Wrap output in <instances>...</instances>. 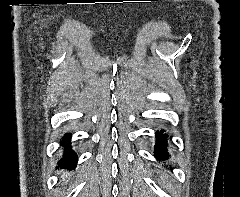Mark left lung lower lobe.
I'll return each instance as SVG.
<instances>
[{
    "mask_svg": "<svg viewBox=\"0 0 240 197\" xmlns=\"http://www.w3.org/2000/svg\"><path fill=\"white\" fill-rule=\"evenodd\" d=\"M164 131H161V132H157L156 133V137H157V144H156V147H155V156L162 160V159H165V160H168V156L169 154L167 153L166 151V142H167V135L163 134Z\"/></svg>",
    "mask_w": 240,
    "mask_h": 197,
    "instance_id": "0a47b994",
    "label": "left lung lower lobe"
}]
</instances>
